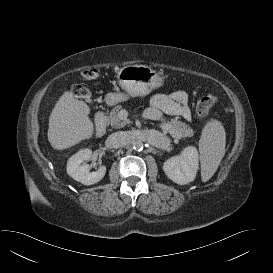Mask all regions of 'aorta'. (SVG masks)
<instances>
[{"instance_id":"762f6f07","label":"aorta","mask_w":273,"mask_h":273,"mask_svg":"<svg viewBox=\"0 0 273 273\" xmlns=\"http://www.w3.org/2000/svg\"><path fill=\"white\" fill-rule=\"evenodd\" d=\"M144 143L141 140H136L133 142V149L136 151H142Z\"/></svg>"}]
</instances>
